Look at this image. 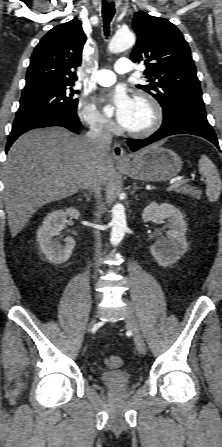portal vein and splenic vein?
<instances>
[{
  "label": "portal vein and splenic vein",
  "mask_w": 222,
  "mask_h": 447,
  "mask_svg": "<svg viewBox=\"0 0 222 447\" xmlns=\"http://www.w3.org/2000/svg\"><path fill=\"white\" fill-rule=\"evenodd\" d=\"M187 181L185 179H180L175 181L174 183H172L170 186L167 187V190L171 191V190H175L178 189L180 186H182L183 184H185Z\"/></svg>",
  "instance_id": "18ae733b"
}]
</instances>
